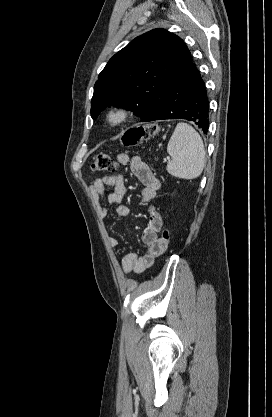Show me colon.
I'll list each match as a JSON object with an SVG mask.
<instances>
[{
    "label": "colon",
    "mask_w": 272,
    "mask_h": 417,
    "mask_svg": "<svg viewBox=\"0 0 272 417\" xmlns=\"http://www.w3.org/2000/svg\"><path fill=\"white\" fill-rule=\"evenodd\" d=\"M159 127L155 123L138 125L126 130L122 136V143L125 146H138L144 140L157 136ZM117 167L115 160L104 153L97 154L94 157L91 168L95 172H113ZM171 238L170 229H165L162 233L161 240L168 244Z\"/></svg>",
    "instance_id": "obj_1"
}]
</instances>
